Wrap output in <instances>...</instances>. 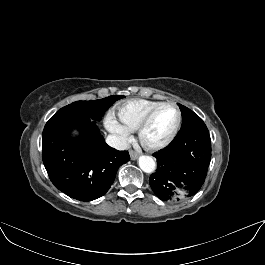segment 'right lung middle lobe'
I'll use <instances>...</instances> for the list:
<instances>
[{"instance_id":"dd1d6c3e","label":"right lung middle lobe","mask_w":265,"mask_h":265,"mask_svg":"<svg viewBox=\"0 0 265 265\" xmlns=\"http://www.w3.org/2000/svg\"><path fill=\"white\" fill-rule=\"evenodd\" d=\"M122 97L123 95H113L94 101H76L61 108L53 116H82L100 120L108 107Z\"/></svg>"}]
</instances>
